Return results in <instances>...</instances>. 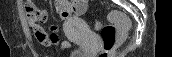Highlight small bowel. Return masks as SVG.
Listing matches in <instances>:
<instances>
[{
	"instance_id": "obj_1",
	"label": "small bowel",
	"mask_w": 172,
	"mask_h": 57,
	"mask_svg": "<svg viewBox=\"0 0 172 57\" xmlns=\"http://www.w3.org/2000/svg\"><path fill=\"white\" fill-rule=\"evenodd\" d=\"M86 0H73V1H55V6L58 12V16L62 21H69L73 16L82 14L87 6ZM26 21L32 30L37 42L44 48L50 49L53 45L58 46L62 50L69 49L72 46L70 40L63 39L59 34V27L52 25L49 31H46L41 23L47 19V12L35 5L33 1H26ZM29 6L35 7L39 10L40 14H30L27 12Z\"/></svg>"
}]
</instances>
